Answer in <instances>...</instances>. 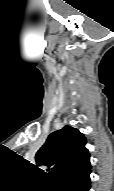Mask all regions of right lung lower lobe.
Returning a JSON list of instances; mask_svg holds the SVG:
<instances>
[{
	"label": "right lung lower lobe",
	"mask_w": 114,
	"mask_h": 191,
	"mask_svg": "<svg viewBox=\"0 0 114 191\" xmlns=\"http://www.w3.org/2000/svg\"><path fill=\"white\" fill-rule=\"evenodd\" d=\"M91 169L64 179L59 184L60 191H89Z\"/></svg>",
	"instance_id": "1"
}]
</instances>
